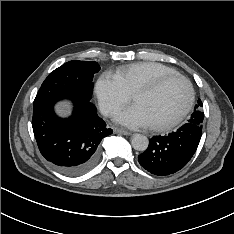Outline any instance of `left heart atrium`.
<instances>
[{
  "label": "left heart atrium",
  "mask_w": 234,
  "mask_h": 234,
  "mask_svg": "<svg viewBox=\"0 0 234 234\" xmlns=\"http://www.w3.org/2000/svg\"><path fill=\"white\" fill-rule=\"evenodd\" d=\"M115 120L127 127H147L150 121L142 108L138 105H133L116 114Z\"/></svg>",
  "instance_id": "1"
}]
</instances>
